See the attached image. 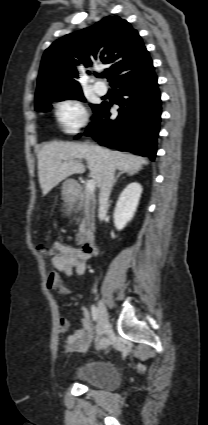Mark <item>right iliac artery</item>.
Instances as JSON below:
<instances>
[{"label": "right iliac artery", "instance_id": "obj_1", "mask_svg": "<svg viewBox=\"0 0 208 425\" xmlns=\"http://www.w3.org/2000/svg\"><path fill=\"white\" fill-rule=\"evenodd\" d=\"M91 314L93 321L96 322L98 320V310L94 305L91 306Z\"/></svg>", "mask_w": 208, "mask_h": 425}]
</instances>
